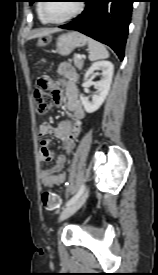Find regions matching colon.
Here are the masks:
<instances>
[{
  "instance_id": "1",
  "label": "colon",
  "mask_w": 158,
  "mask_h": 275,
  "mask_svg": "<svg viewBox=\"0 0 158 275\" xmlns=\"http://www.w3.org/2000/svg\"><path fill=\"white\" fill-rule=\"evenodd\" d=\"M49 43V37L44 36L40 39L39 45L46 46ZM54 92L48 89V81L40 78L34 91L35 108L37 113L45 114L50 110L54 100ZM43 207L46 210H57L61 205L60 197L51 191H44L41 195Z\"/></svg>"
}]
</instances>
